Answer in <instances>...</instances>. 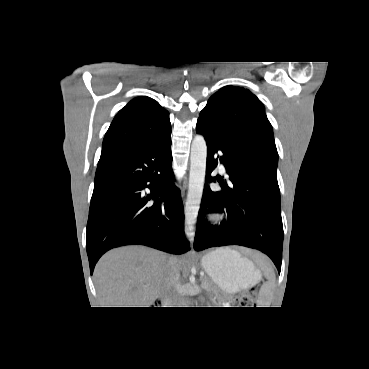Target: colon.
Listing matches in <instances>:
<instances>
[{"label":"colon","mask_w":369,"mask_h":369,"mask_svg":"<svg viewBox=\"0 0 369 369\" xmlns=\"http://www.w3.org/2000/svg\"><path fill=\"white\" fill-rule=\"evenodd\" d=\"M257 296V291L255 289H251L248 292H245L238 296L237 304L240 307H251L253 306L255 299Z\"/></svg>","instance_id":"obj_1"}]
</instances>
